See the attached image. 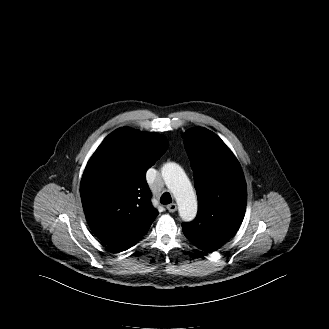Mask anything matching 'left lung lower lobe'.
Instances as JSON below:
<instances>
[{"label": "left lung lower lobe", "mask_w": 329, "mask_h": 329, "mask_svg": "<svg viewBox=\"0 0 329 329\" xmlns=\"http://www.w3.org/2000/svg\"><path fill=\"white\" fill-rule=\"evenodd\" d=\"M232 235L229 233H220L217 239L203 240L200 242H192L195 246L205 252H212L220 248Z\"/></svg>", "instance_id": "0a47b994"}]
</instances>
